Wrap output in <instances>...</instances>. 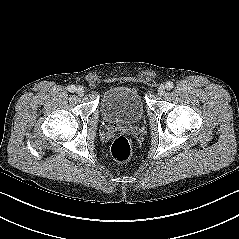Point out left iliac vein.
<instances>
[{
	"label": "left iliac vein",
	"mask_w": 239,
	"mask_h": 239,
	"mask_svg": "<svg viewBox=\"0 0 239 239\" xmlns=\"http://www.w3.org/2000/svg\"><path fill=\"white\" fill-rule=\"evenodd\" d=\"M165 91H166V87L164 85H160L158 88V94L162 96L164 95Z\"/></svg>",
	"instance_id": "left-iliac-vein-1"
}]
</instances>
